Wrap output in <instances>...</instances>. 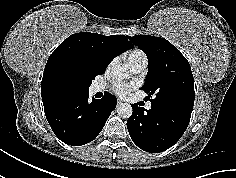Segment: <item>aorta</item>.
Instances as JSON below:
<instances>
[{
  "mask_svg": "<svg viewBox=\"0 0 236 178\" xmlns=\"http://www.w3.org/2000/svg\"><path fill=\"white\" fill-rule=\"evenodd\" d=\"M113 78L122 80L129 77L130 73L128 68L123 64H116L111 68ZM116 112L119 117L126 119L132 115L133 109L128 103H120L117 105Z\"/></svg>",
  "mask_w": 236,
  "mask_h": 178,
  "instance_id": "1",
  "label": "aorta"
}]
</instances>
